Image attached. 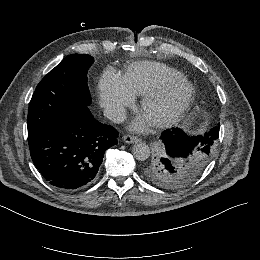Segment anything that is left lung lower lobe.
Wrapping results in <instances>:
<instances>
[{
	"label": "left lung lower lobe",
	"instance_id": "1",
	"mask_svg": "<svg viewBox=\"0 0 260 260\" xmlns=\"http://www.w3.org/2000/svg\"><path fill=\"white\" fill-rule=\"evenodd\" d=\"M220 125L212 128L204 136L190 137L179 128H172L162 132L161 139L165 151L170 158H180L192 153L208 152L219 136Z\"/></svg>",
	"mask_w": 260,
	"mask_h": 260
}]
</instances>
